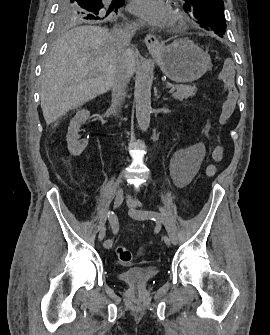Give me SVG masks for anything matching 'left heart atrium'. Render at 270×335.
I'll return each mask as SVG.
<instances>
[{
    "instance_id": "left-heart-atrium-1",
    "label": "left heart atrium",
    "mask_w": 270,
    "mask_h": 335,
    "mask_svg": "<svg viewBox=\"0 0 270 335\" xmlns=\"http://www.w3.org/2000/svg\"><path fill=\"white\" fill-rule=\"evenodd\" d=\"M131 10L140 18L142 26L153 31L172 27L176 20L162 0H134Z\"/></svg>"
}]
</instances>
